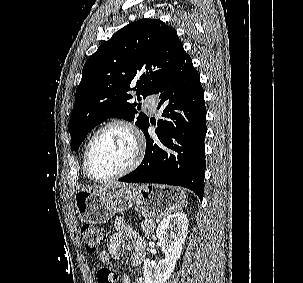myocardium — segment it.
<instances>
[{
	"instance_id": "myocardium-1",
	"label": "myocardium",
	"mask_w": 303,
	"mask_h": 283,
	"mask_svg": "<svg viewBox=\"0 0 303 283\" xmlns=\"http://www.w3.org/2000/svg\"><path fill=\"white\" fill-rule=\"evenodd\" d=\"M110 127L123 128L131 135V137L134 141V144H135L134 157H133L132 161L129 163V165L126 166L124 169L120 170L119 172H116V173H114L110 176H106V177H97L92 172V169L90 166L89 157H90L91 148H92L95 140L97 139V137L103 131H105L106 129H108ZM144 152H145L144 141H143L141 134L137 130V128L134 125H132L131 123L126 122L124 120L113 119V120H110V121L104 123L101 127H99L94 132V134L91 136L90 140L88 141L86 148H85V152H84V160H83L84 169H85L88 177L90 179H92L93 181L107 182V181L115 180V179L121 178V177L131 173L132 171H134L142 162L143 157H144Z\"/></svg>"
}]
</instances>
